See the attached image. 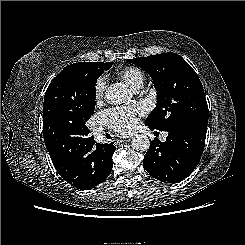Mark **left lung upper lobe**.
<instances>
[{"label": "left lung upper lobe", "mask_w": 245, "mask_h": 245, "mask_svg": "<svg viewBox=\"0 0 245 245\" xmlns=\"http://www.w3.org/2000/svg\"><path fill=\"white\" fill-rule=\"evenodd\" d=\"M150 74L157 89V104L145 123L172 131L193 122H208L202 84L192 67L176 53L129 59Z\"/></svg>", "instance_id": "left-lung-upper-lobe-1"}]
</instances>
